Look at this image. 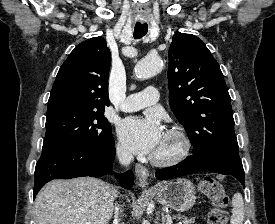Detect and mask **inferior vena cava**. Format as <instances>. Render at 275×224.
<instances>
[{
    "mask_svg": "<svg viewBox=\"0 0 275 224\" xmlns=\"http://www.w3.org/2000/svg\"><path fill=\"white\" fill-rule=\"evenodd\" d=\"M116 154H117V157L119 159V162L122 164V165H129L134 157L133 155L126 151L125 149H122V148H117V151H116ZM122 211L120 210V207L116 205L115 207V216H114V224H118L119 222V214L121 213Z\"/></svg>",
    "mask_w": 275,
    "mask_h": 224,
    "instance_id": "602c4592",
    "label": "inferior vena cava"
}]
</instances>
